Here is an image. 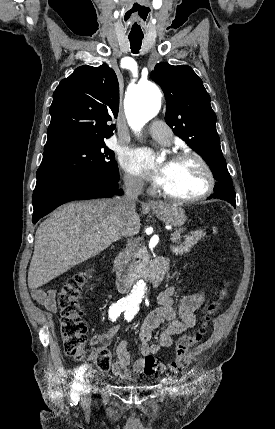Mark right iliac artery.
Listing matches in <instances>:
<instances>
[{
    "mask_svg": "<svg viewBox=\"0 0 275 429\" xmlns=\"http://www.w3.org/2000/svg\"><path fill=\"white\" fill-rule=\"evenodd\" d=\"M126 306L122 302H117L110 306L108 315L111 321H116L118 316L125 310ZM87 369V365H82L76 372L75 379L72 384V392L71 397L73 402H76L79 399V391L81 390V382L83 380V375L85 370Z\"/></svg>",
    "mask_w": 275,
    "mask_h": 429,
    "instance_id": "obj_1",
    "label": "right iliac artery"
}]
</instances>
